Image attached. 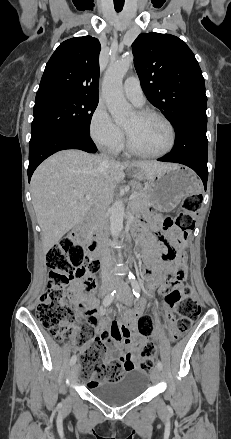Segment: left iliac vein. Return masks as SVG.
Instances as JSON below:
<instances>
[{"label":"left iliac vein","instance_id":"1","mask_svg":"<svg viewBox=\"0 0 231 439\" xmlns=\"http://www.w3.org/2000/svg\"><path fill=\"white\" fill-rule=\"evenodd\" d=\"M116 288L119 291L117 299L126 305H130L133 301V294L130 286L126 282L120 280L116 283ZM159 378H160V369L154 368L151 372V381L156 383L159 380Z\"/></svg>","mask_w":231,"mask_h":439}]
</instances>
